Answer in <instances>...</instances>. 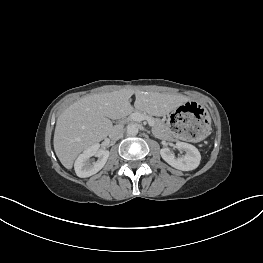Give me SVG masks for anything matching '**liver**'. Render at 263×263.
<instances>
[{"label": "liver", "instance_id": "1", "mask_svg": "<svg viewBox=\"0 0 263 263\" xmlns=\"http://www.w3.org/2000/svg\"><path fill=\"white\" fill-rule=\"evenodd\" d=\"M135 94L134 107L153 116L175 110L187 98L176 94L120 89L109 93L87 95L71 104L58 117L54 133V150L62 165L71 169L77 156L106 138L113 128L110 119L132 112L129 99Z\"/></svg>", "mask_w": 263, "mask_h": 263}]
</instances>
